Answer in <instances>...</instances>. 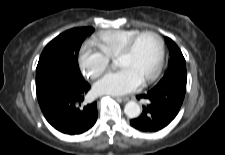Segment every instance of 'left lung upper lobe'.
Listing matches in <instances>:
<instances>
[{"label": "left lung upper lobe", "instance_id": "obj_1", "mask_svg": "<svg viewBox=\"0 0 225 155\" xmlns=\"http://www.w3.org/2000/svg\"><path fill=\"white\" fill-rule=\"evenodd\" d=\"M166 43L170 51V60L168 69L159 82L176 81L186 86L187 72L183 54L170 38L166 37Z\"/></svg>", "mask_w": 225, "mask_h": 155}]
</instances>
